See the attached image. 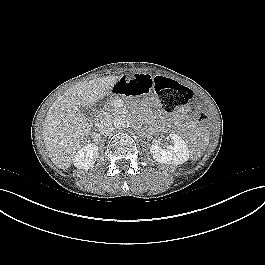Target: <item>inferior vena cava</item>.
Listing matches in <instances>:
<instances>
[{
	"instance_id": "obj_1",
	"label": "inferior vena cava",
	"mask_w": 265,
	"mask_h": 265,
	"mask_svg": "<svg viewBox=\"0 0 265 265\" xmlns=\"http://www.w3.org/2000/svg\"><path fill=\"white\" fill-rule=\"evenodd\" d=\"M98 130L102 135H110L113 132L114 127L110 120L104 119L99 123Z\"/></svg>"
}]
</instances>
